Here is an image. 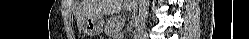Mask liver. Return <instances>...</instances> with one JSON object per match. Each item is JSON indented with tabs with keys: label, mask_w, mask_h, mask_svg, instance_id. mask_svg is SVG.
Wrapping results in <instances>:
<instances>
[{
	"label": "liver",
	"mask_w": 249,
	"mask_h": 39,
	"mask_svg": "<svg viewBox=\"0 0 249 39\" xmlns=\"http://www.w3.org/2000/svg\"><path fill=\"white\" fill-rule=\"evenodd\" d=\"M123 0H82L79 5V23L90 16L112 15L121 11Z\"/></svg>",
	"instance_id": "6515ba94"
}]
</instances>
